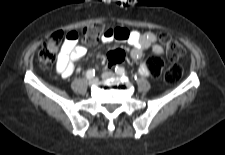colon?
I'll return each instance as SVG.
<instances>
[{
	"instance_id": "obj_1",
	"label": "colon",
	"mask_w": 225,
	"mask_h": 155,
	"mask_svg": "<svg viewBox=\"0 0 225 155\" xmlns=\"http://www.w3.org/2000/svg\"><path fill=\"white\" fill-rule=\"evenodd\" d=\"M110 30L111 27L105 23H94L82 30V37L86 43L94 44ZM63 39L66 40V35L62 31L54 32L47 37L38 53V63L42 68L55 61ZM160 42L164 45L169 60L174 62L183 56L184 50L181 44L168 34H162ZM107 57L111 63L117 64L124 62L127 55L121 47L116 46L108 52ZM165 67L166 62L164 59L151 57L147 63L141 66L140 71L143 75H151L154 79H159L163 75L164 81L168 84L179 82L183 74L181 67L176 64L171 65L163 74Z\"/></svg>"
}]
</instances>
